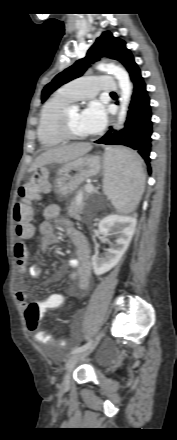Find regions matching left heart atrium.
I'll list each match as a JSON object with an SVG mask.
<instances>
[{"label":"left heart atrium","instance_id":"left-heart-atrium-1","mask_svg":"<svg viewBox=\"0 0 177 440\" xmlns=\"http://www.w3.org/2000/svg\"><path fill=\"white\" fill-rule=\"evenodd\" d=\"M106 111L99 102H91L81 113L80 122L86 134L99 133L106 124Z\"/></svg>","mask_w":177,"mask_h":440}]
</instances>
